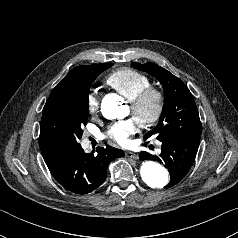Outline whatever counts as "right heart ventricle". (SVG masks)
Here are the masks:
<instances>
[{
	"label": "right heart ventricle",
	"instance_id": "right-heart-ventricle-1",
	"mask_svg": "<svg viewBox=\"0 0 238 238\" xmlns=\"http://www.w3.org/2000/svg\"><path fill=\"white\" fill-rule=\"evenodd\" d=\"M105 82L129 100L150 85L146 75L130 68L112 71L106 76Z\"/></svg>",
	"mask_w": 238,
	"mask_h": 238
}]
</instances>
